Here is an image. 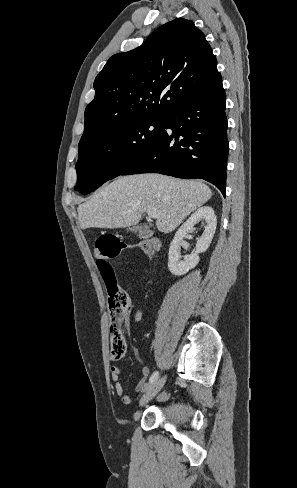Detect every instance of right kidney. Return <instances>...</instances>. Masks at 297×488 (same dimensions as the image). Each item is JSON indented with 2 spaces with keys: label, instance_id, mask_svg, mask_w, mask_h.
I'll list each match as a JSON object with an SVG mask.
<instances>
[{
  "label": "right kidney",
  "instance_id": "ca27d5eb",
  "mask_svg": "<svg viewBox=\"0 0 297 488\" xmlns=\"http://www.w3.org/2000/svg\"><path fill=\"white\" fill-rule=\"evenodd\" d=\"M200 220H205L206 227L204 233L197 240L196 251L190 255H185L183 260L180 254V242L183 238L194 230V226ZM217 225V218L214 214V210L209 206L198 208L186 222L182 224L179 230L176 232L173 241L170 244L168 255V268L169 271L177 276L186 274L189 270L193 269L199 262V254L205 252L213 239Z\"/></svg>",
  "mask_w": 297,
  "mask_h": 488
}]
</instances>
